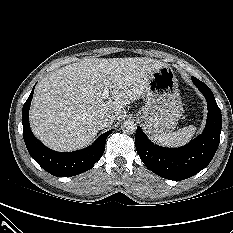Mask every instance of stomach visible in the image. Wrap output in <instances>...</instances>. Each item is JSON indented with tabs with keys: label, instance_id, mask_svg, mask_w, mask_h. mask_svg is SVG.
Returning <instances> with one entry per match:
<instances>
[{
	"label": "stomach",
	"instance_id": "obj_1",
	"mask_svg": "<svg viewBox=\"0 0 233 233\" xmlns=\"http://www.w3.org/2000/svg\"><path fill=\"white\" fill-rule=\"evenodd\" d=\"M182 114L177 78L171 67L163 66L151 76L146 101L138 117L148 132L156 136L174 130Z\"/></svg>",
	"mask_w": 233,
	"mask_h": 233
}]
</instances>
